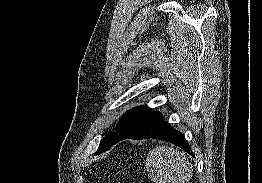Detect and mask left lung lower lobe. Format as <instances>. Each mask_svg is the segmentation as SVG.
I'll use <instances>...</instances> for the list:
<instances>
[{"instance_id": "obj_1", "label": "left lung lower lobe", "mask_w": 262, "mask_h": 183, "mask_svg": "<svg viewBox=\"0 0 262 183\" xmlns=\"http://www.w3.org/2000/svg\"><path fill=\"white\" fill-rule=\"evenodd\" d=\"M126 138L135 140L152 138L167 141L181 147L190 155L194 156L191 152L189 144L187 143L182 133L175 130L171 125L166 123L163 120L162 114L158 111H156L137 132ZM119 141L115 142L114 144L118 143ZM114 144H112L111 146H113Z\"/></svg>"}]
</instances>
